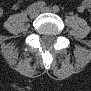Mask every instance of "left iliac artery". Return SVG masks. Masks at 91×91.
Wrapping results in <instances>:
<instances>
[{
  "label": "left iliac artery",
  "instance_id": "left-iliac-artery-1",
  "mask_svg": "<svg viewBox=\"0 0 91 91\" xmlns=\"http://www.w3.org/2000/svg\"><path fill=\"white\" fill-rule=\"evenodd\" d=\"M53 11L56 13L59 12L60 11L59 6H57V5L53 6Z\"/></svg>",
  "mask_w": 91,
  "mask_h": 91
}]
</instances>
